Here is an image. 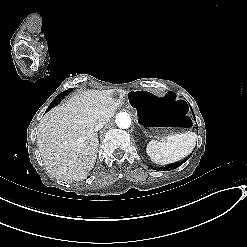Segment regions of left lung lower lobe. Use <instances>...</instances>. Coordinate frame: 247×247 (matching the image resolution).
Listing matches in <instances>:
<instances>
[{"instance_id":"1","label":"left lung lower lobe","mask_w":247,"mask_h":247,"mask_svg":"<svg viewBox=\"0 0 247 247\" xmlns=\"http://www.w3.org/2000/svg\"><path fill=\"white\" fill-rule=\"evenodd\" d=\"M189 157H190V156H188L185 160L181 161L180 163H177V164H173V165H170V166L163 167V168H161L160 170H161V171H170V170H173V169H175V168L181 166L185 161L188 160ZM150 168H152V167H150Z\"/></svg>"}]
</instances>
